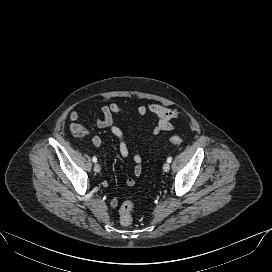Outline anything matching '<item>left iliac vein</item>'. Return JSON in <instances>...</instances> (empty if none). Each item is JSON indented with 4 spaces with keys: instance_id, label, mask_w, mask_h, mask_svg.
<instances>
[{
    "instance_id": "1",
    "label": "left iliac vein",
    "mask_w": 272,
    "mask_h": 272,
    "mask_svg": "<svg viewBox=\"0 0 272 272\" xmlns=\"http://www.w3.org/2000/svg\"><path fill=\"white\" fill-rule=\"evenodd\" d=\"M164 172H168L170 170V164L167 162L163 165Z\"/></svg>"
}]
</instances>
